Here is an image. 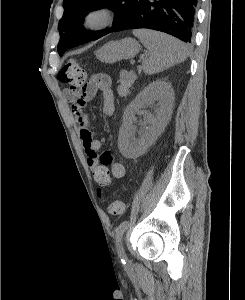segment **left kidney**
Returning <instances> with one entry per match:
<instances>
[{
  "mask_svg": "<svg viewBox=\"0 0 245 300\" xmlns=\"http://www.w3.org/2000/svg\"><path fill=\"white\" fill-rule=\"evenodd\" d=\"M174 93L171 86L157 80L145 87L127 106L119 132V149L126 157L143 153L158 137L172 111ZM153 106L154 114L147 113L149 127L137 132L133 126L135 114L144 107ZM138 133V137L137 134Z\"/></svg>",
  "mask_w": 245,
  "mask_h": 300,
  "instance_id": "obj_1",
  "label": "left kidney"
}]
</instances>
